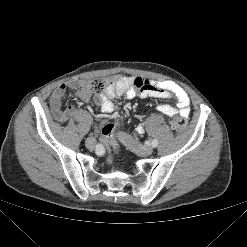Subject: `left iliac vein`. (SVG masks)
<instances>
[{
	"instance_id": "left-iliac-vein-1",
	"label": "left iliac vein",
	"mask_w": 247,
	"mask_h": 247,
	"mask_svg": "<svg viewBox=\"0 0 247 247\" xmlns=\"http://www.w3.org/2000/svg\"><path fill=\"white\" fill-rule=\"evenodd\" d=\"M118 138L125 146H127L140 156H149L153 153L152 147L145 146L139 143L137 140L133 139L125 133L120 132Z\"/></svg>"
}]
</instances>
